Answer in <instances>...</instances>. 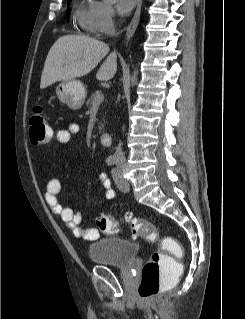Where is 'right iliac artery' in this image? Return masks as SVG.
<instances>
[{
	"mask_svg": "<svg viewBox=\"0 0 245 319\" xmlns=\"http://www.w3.org/2000/svg\"><path fill=\"white\" fill-rule=\"evenodd\" d=\"M106 162L108 165L112 166L115 163V157L113 156L108 157Z\"/></svg>",
	"mask_w": 245,
	"mask_h": 319,
	"instance_id": "right-iliac-artery-1",
	"label": "right iliac artery"
}]
</instances>
